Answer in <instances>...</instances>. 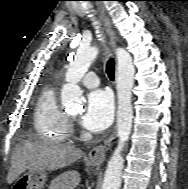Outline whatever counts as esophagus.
<instances>
[{"mask_svg":"<svg viewBox=\"0 0 188 189\" xmlns=\"http://www.w3.org/2000/svg\"><path fill=\"white\" fill-rule=\"evenodd\" d=\"M97 9L100 13V16L104 22L105 25V29L106 32L109 35L110 38V43L112 45V47L114 48L116 46V38H115V34L112 30L111 24L109 19L106 17L105 15V11L102 7V5L98 4L97 5ZM116 72H117V68H116ZM114 139V134H112L105 142L103 145H99L94 147L88 155V159L92 164H100L104 161L105 156H106V152L110 149L111 145H112V141Z\"/></svg>","mask_w":188,"mask_h":189,"instance_id":"34e87169","label":"esophagus"}]
</instances>
